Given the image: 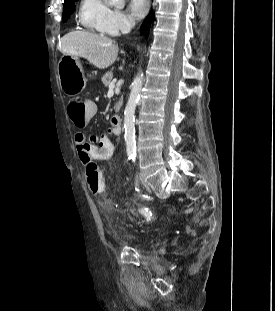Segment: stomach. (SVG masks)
<instances>
[{
    "mask_svg": "<svg viewBox=\"0 0 275 311\" xmlns=\"http://www.w3.org/2000/svg\"><path fill=\"white\" fill-rule=\"evenodd\" d=\"M60 87L68 96L79 94L86 86L82 64L77 56L64 55L58 63Z\"/></svg>",
    "mask_w": 275,
    "mask_h": 311,
    "instance_id": "0dacf381",
    "label": "stomach"
}]
</instances>
